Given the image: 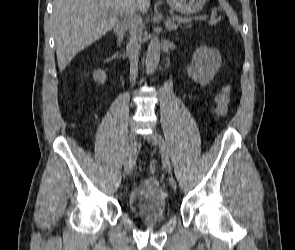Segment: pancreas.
Instances as JSON below:
<instances>
[{"label":"pancreas","instance_id":"obj_1","mask_svg":"<svg viewBox=\"0 0 295 250\" xmlns=\"http://www.w3.org/2000/svg\"><path fill=\"white\" fill-rule=\"evenodd\" d=\"M215 16H216V12H212L211 19H210L211 24H216L218 22V19H216ZM179 19H181V18H179Z\"/></svg>","mask_w":295,"mask_h":250}]
</instances>
